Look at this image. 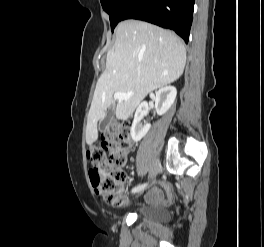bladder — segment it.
<instances>
[{
    "label": "bladder",
    "instance_id": "obj_1",
    "mask_svg": "<svg viewBox=\"0 0 264 247\" xmlns=\"http://www.w3.org/2000/svg\"><path fill=\"white\" fill-rule=\"evenodd\" d=\"M138 215L141 218L154 223H165L171 217L168 210L163 207L156 206H145L139 210Z\"/></svg>",
    "mask_w": 264,
    "mask_h": 247
}]
</instances>
